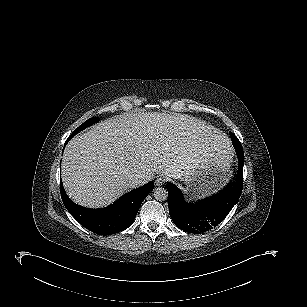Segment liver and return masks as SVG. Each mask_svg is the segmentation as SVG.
I'll return each mask as SVG.
<instances>
[{"instance_id": "obj_1", "label": "liver", "mask_w": 307, "mask_h": 307, "mask_svg": "<svg viewBox=\"0 0 307 307\" xmlns=\"http://www.w3.org/2000/svg\"><path fill=\"white\" fill-rule=\"evenodd\" d=\"M219 135L190 116L129 112L96 124L65 147L62 180L68 196L89 208L109 205L137 177H184L217 159Z\"/></svg>"}]
</instances>
